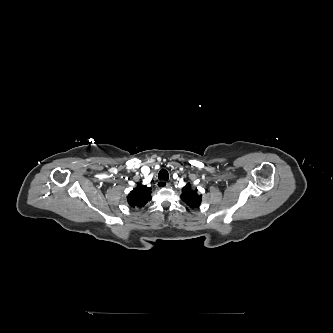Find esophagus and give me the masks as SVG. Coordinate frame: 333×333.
<instances>
[{
    "label": "esophagus",
    "instance_id": "34e87169",
    "mask_svg": "<svg viewBox=\"0 0 333 333\" xmlns=\"http://www.w3.org/2000/svg\"><path fill=\"white\" fill-rule=\"evenodd\" d=\"M156 186L158 188H167L170 186V184L164 180H159L157 183H156Z\"/></svg>",
    "mask_w": 333,
    "mask_h": 333
}]
</instances>
